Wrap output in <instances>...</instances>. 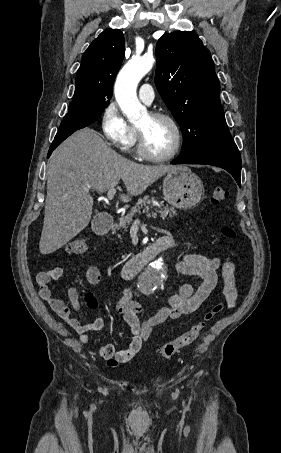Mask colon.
Segmentation results:
<instances>
[{
    "label": "colon",
    "mask_w": 281,
    "mask_h": 453,
    "mask_svg": "<svg viewBox=\"0 0 281 453\" xmlns=\"http://www.w3.org/2000/svg\"><path fill=\"white\" fill-rule=\"evenodd\" d=\"M228 196L226 187H216L210 194L212 204L221 205L225 202ZM220 234L224 237L232 238L234 232L232 228L223 226L220 228ZM88 252V243L83 238H75L64 245V253L68 257H85ZM224 309L222 303L215 304L207 310L202 318L196 322L188 332L178 335L174 340L165 343L161 346L159 353L162 360L171 359L178 350L191 346L209 327L214 317Z\"/></svg>",
    "instance_id": "obj_1"
}]
</instances>
